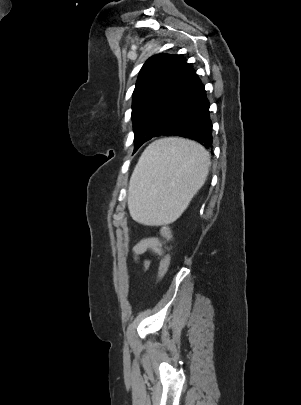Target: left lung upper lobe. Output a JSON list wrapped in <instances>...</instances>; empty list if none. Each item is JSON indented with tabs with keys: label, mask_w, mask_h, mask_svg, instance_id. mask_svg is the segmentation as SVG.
Listing matches in <instances>:
<instances>
[{
	"label": "left lung upper lobe",
	"mask_w": 301,
	"mask_h": 405,
	"mask_svg": "<svg viewBox=\"0 0 301 405\" xmlns=\"http://www.w3.org/2000/svg\"><path fill=\"white\" fill-rule=\"evenodd\" d=\"M192 70L178 55L157 54L145 62L133 92L134 142L158 129L183 94Z\"/></svg>",
	"instance_id": "left-lung-upper-lobe-1"
}]
</instances>
